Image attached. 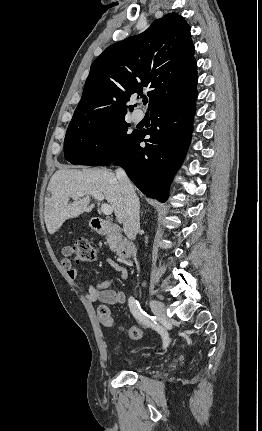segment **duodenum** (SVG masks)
I'll return each mask as SVG.
<instances>
[{
    "label": "duodenum",
    "instance_id": "410a0bca",
    "mask_svg": "<svg viewBox=\"0 0 262 431\" xmlns=\"http://www.w3.org/2000/svg\"><path fill=\"white\" fill-rule=\"evenodd\" d=\"M91 223L99 234L110 235L115 244L117 254L123 258L128 259L133 254V244L123 236L120 227L104 221L98 217H92Z\"/></svg>",
    "mask_w": 262,
    "mask_h": 431
}]
</instances>
